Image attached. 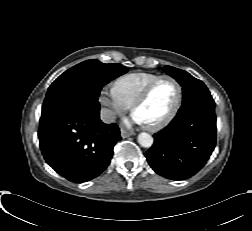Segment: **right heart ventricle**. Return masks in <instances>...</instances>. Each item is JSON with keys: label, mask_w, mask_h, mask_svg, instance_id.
<instances>
[{"label": "right heart ventricle", "mask_w": 252, "mask_h": 231, "mask_svg": "<svg viewBox=\"0 0 252 231\" xmlns=\"http://www.w3.org/2000/svg\"><path fill=\"white\" fill-rule=\"evenodd\" d=\"M158 77L159 75L153 73H131L119 77L114 82V88L118 95L131 106L146 86Z\"/></svg>", "instance_id": "right-heart-ventricle-1"}]
</instances>
